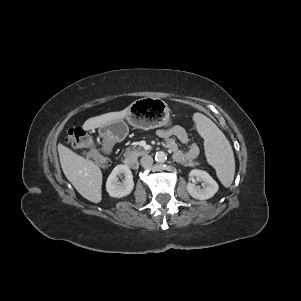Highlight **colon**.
I'll return each instance as SVG.
<instances>
[{
	"mask_svg": "<svg viewBox=\"0 0 301 301\" xmlns=\"http://www.w3.org/2000/svg\"><path fill=\"white\" fill-rule=\"evenodd\" d=\"M65 140L73 147L83 149L84 156L93 163L107 167L109 158L95 147L91 137L80 127L67 126L65 128Z\"/></svg>",
	"mask_w": 301,
	"mask_h": 301,
	"instance_id": "1",
	"label": "colon"
}]
</instances>
